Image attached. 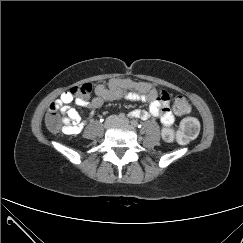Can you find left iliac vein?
Masks as SVG:
<instances>
[{
	"label": "left iliac vein",
	"mask_w": 243,
	"mask_h": 243,
	"mask_svg": "<svg viewBox=\"0 0 243 243\" xmlns=\"http://www.w3.org/2000/svg\"><path fill=\"white\" fill-rule=\"evenodd\" d=\"M118 123H123V124H129V120L128 119H119L117 120Z\"/></svg>",
	"instance_id": "1"
}]
</instances>
